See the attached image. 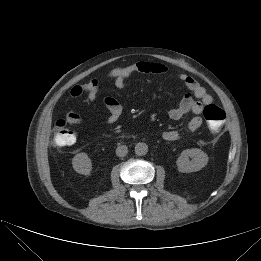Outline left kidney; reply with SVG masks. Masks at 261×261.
Masks as SVG:
<instances>
[{"label":"left kidney","mask_w":261,"mask_h":261,"mask_svg":"<svg viewBox=\"0 0 261 261\" xmlns=\"http://www.w3.org/2000/svg\"><path fill=\"white\" fill-rule=\"evenodd\" d=\"M189 157L192 160H189ZM208 155L198 148L183 150L178 157L176 164L178 171L182 173H190L201 170L208 162Z\"/></svg>","instance_id":"obj_1"}]
</instances>
